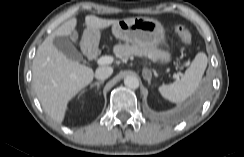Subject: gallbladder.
I'll use <instances>...</instances> for the list:
<instances>
[{"label": "gallbladder", "mask_w": 244, "mask_h": 157, "mask_svg": "<svg viewBox=\"0 0 244 157\" xmlns=\"http://www.w3.org/2000/svg\"><path fill=\"white\" fill-rule=\"evenodd\" d=\"M53 43L55 47L60 50L67 58L81 62L83 56L76 50L71 41L65 36H57L54 38Z\"/></svg>", "instance_id": "1"}]
</instances>
